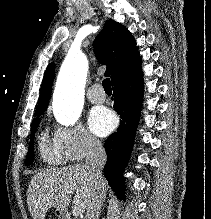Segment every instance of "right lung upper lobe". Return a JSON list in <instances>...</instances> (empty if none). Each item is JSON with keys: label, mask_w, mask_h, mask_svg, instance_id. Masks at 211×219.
Listing matches in <instances>:
<instances>
[{"label": "right lung upper lobe", "mask_w": 211, "mask_h": 219, "mask_svg": "<svg viewBox=\"0 0 211 219\" xmlns=\"http://www.w3.org/2000/svg\"><path fill=\"white\" fill-rule=\"evenodd\" d=\"M93 45L98 61L107 65L105 75L110 76L111 81L140 64L134 37L127 28L112 19L106 21ZM54 76L55 67L51 63L44 74L35 115L43 114L48 107Z\"/></svg>", "instance_id": "1"}]
</instances>
